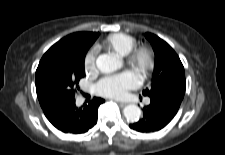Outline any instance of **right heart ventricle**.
Wrapping results in <instances>:
<instances>
[{"label": "right heart ventricle", "instance_id": "obj_1", "mask_svg": "<svg viewBox=\"0 0 225 155\" xmlns=\"http://www.w3.org/2000/svg\"><path fill=\"white\" fill-rule=\"evenodd\" d=\"M136 40L125 33H113L102 42V46L120 56H126L134 47Z\"/></svg>", "mask_w": 225, "mask_h": 155}]
</instances>
